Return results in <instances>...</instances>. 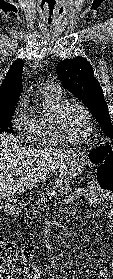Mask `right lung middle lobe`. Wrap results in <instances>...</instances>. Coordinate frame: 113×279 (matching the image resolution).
Returning <instances> with one entry per match:
<instances>
[{
	"label": "right lung middle lobe",
	"instance_id": "1",
	"mask_svg": "<svg viewBox=\"0 0 113 279\" xmlns=\"http://www.w3.org/2000/svg\"><path fill=\"white\" fill-rule=\"evenodd\" d=\"M14 110L15 107L0 110V133L15 134L11 123Z\"/></svg>",
	"mask_w": 113,
	"mask_h": 279
}]
</instances>
